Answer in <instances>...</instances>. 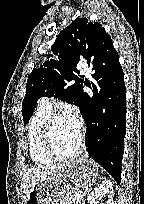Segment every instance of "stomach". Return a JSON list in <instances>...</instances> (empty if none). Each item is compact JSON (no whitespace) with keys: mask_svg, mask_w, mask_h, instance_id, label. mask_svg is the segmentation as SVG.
Masks as SVG:
<instances>
[{"mask_svg":"<svg viewBox=\"0 0 144 204\" xmlns=\"http://www.w3.org/2000/svg\"><path fill=\"white\" fill-rule=\"evenodd\" d=\"M97 165L78 159L65 165L53 179L37 182L30 190L25 204H60V195L72 191L82 193L97 177Z\"/></svg>","mask_w":144,"mask_h":204,"instance_id":"stomach-1","label":"stomach"}]
</instances>
